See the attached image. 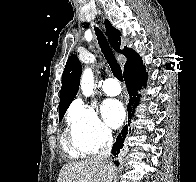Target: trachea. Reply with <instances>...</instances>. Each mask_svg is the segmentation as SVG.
<instances>
[{
    "label": "trachea",
    "instance_id": "obj_1",
    "mask_svg": "<svg viewBox=\"0 0 196 182\" xmlns=\"http://www.w3.org/2000/svg\"><path fill=\"white\" fill-rule=\"evenodd\" d=\"M95 32L97 36L98 43L100 45L101 51L109 64L113 75L123 82V75L120 65L118 64L111 47L109 46L106 38L104 37L103 33L99 30V28L95 27Z\"/></svg>",
    "mask_w": 196,
    "mask_h": 182
}]
</instances>
